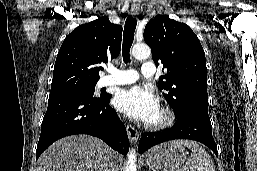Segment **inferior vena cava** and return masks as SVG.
Masks as SVG:
<instances>
[{"label": "inferior vena cava", "instance_id": "obj_1", "mask_svg": "<svg viewBox=\"0 0 257 171\" xmlns=\"http://www.w3.org/2000/svg\"><path fill=\"white\" fill-rule=\"evenodd\" d=\"M105 171H117V166L112 161L106 165Z\"/></svg>", "mask_w": 257, "mask_h": 171}]
</instances>
